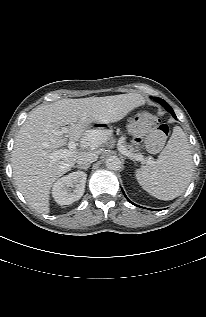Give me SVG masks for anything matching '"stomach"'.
Segmentation results:
<instances>
[{
	"mask_svg": "<svg viewBox=\"0 0 206 317\" xmlns=\"http://www.w3.org/2000/svg\"><path fill=\"white\" fill-rule=\"evenodd\" d=\"M127 130L130 135L127 138V143H131L137 148H140L144 143V137L149 133L146 125L141 124L135 115L127 125ZM114 136L113 127L104 122H93L81 135V142L87 148H94L100 142H108Z\"/></svg>",
	"mask_w": 206,
	"mask_h": 317,
	"instance_id": "obj_1",
	"label": "stomach"
}]
</instances>
